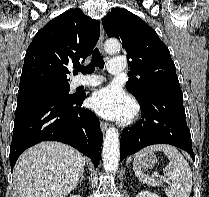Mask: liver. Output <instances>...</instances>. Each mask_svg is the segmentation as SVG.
<instances>
[{
    "label": "liver",
    "mask_w": 209,
    "mask_h": 197,
    "mask_svg": "<svg viewBox=\"0 0 209 197\" xmlns=\"http://www.w3.org/2000/svg\"><path fill=\"white\" fill-rule=\"evenodd\" d=\"M86 158L61 142H42L22 153L15 168L18 197H65L76 188Z\"/></svg>",
    "instance_id": "obj_1"
}]
</instances>
